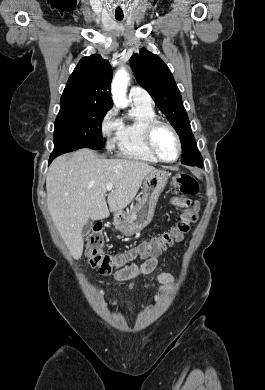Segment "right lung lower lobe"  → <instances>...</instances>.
Returning <instances> with one entry per match:
<instances>
[{
  "mask_svg": "<svg viewBox=\"0 0 265 390\" xmlns=\"http://www.w3.org/2000/svg\"><path fill=\"white\" fill-rule=\"evenodd\" d=\"M61 155L60 152H56L55 150L53 151V153L50 155V159H49V164L51 163V161L56 158L57 156Z\"/></svg>",
  "mask_w": 265,
  "mask_h": 390,
  "instance_id": "right-lung-lower-lobe-1",
  "label": "right lung lower lobe"
}]
</instances>
